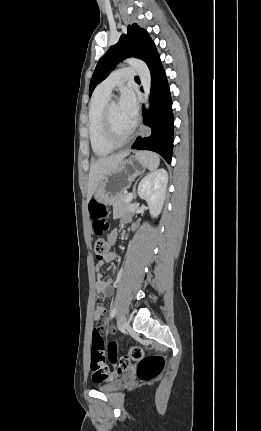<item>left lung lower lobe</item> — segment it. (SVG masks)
<instances>
[{"label": "left lung lower lobe", "instance_id": "obj_1", "mask_svg": "<svg viewBox=\"0 0 261 431\" xmlns=\"http://www.w3.org/2000/svg\"><path fill=\"white\" fill-rule=\"evenodd\" d=\"M146 63L151 73V92L150 108L146 111L143 107V122L151 132L148 136H139L132 148L157 152L171 163L174 120L169 86L157 51Z\"/></svg>", "mask_w": 261, "mask_h": 431}]
</instances>
